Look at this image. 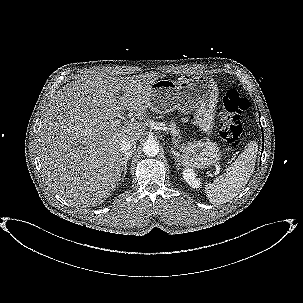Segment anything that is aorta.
I'll return each mask as SVG.
<instances>
[{
    "label": "aorta",
    "instance_id": "obj_1",
    "mask_svg": "<svg viewBox=\"0 0 303 303\" xmlns=\"http://www.w3.org/2000/svg\"><path fill=\"white\" fill-rule=\"evenodd\" d=\"M143 152L146 156L153 157L159 153V144L155 140H147L143 145Z\"/></svg>",
    "mask_w": 303,
    "mask_h": 303
}]
</instances>
